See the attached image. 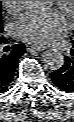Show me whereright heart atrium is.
Segmentation results:
<instances>
[{"instance_id": "obj_1", "label": "right heart atrium", "mask_w": 74, "mask_h": 122, "mask_svg": "<svg viewBox=\"0 0 74 122\" xmlns=\"http://www.w3.org/2000/svg\"><path fill=\"white\" fill-rule=\"evenodd\" d=\"M2 4L9 14L14 15L20 11L22 1H2Z\"/></svg>"}]
</instances>
